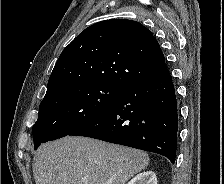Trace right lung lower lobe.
<instances>
[{"instance_id": "obj_1", "label": "right lung lower lobe", "mask_w": 224, "mask_h": 184, "mask_svg": "<svg viewBox=\"0 0 224 184\" xmlns=\"http://www.w3.org/2000/svg\"><path fill=\"white\" fill-rule=\"evenodd\" d=\"M177 132L176 94L168 73L126 86L104 111L69 135L158 153L174 163Z\"/></svg>"}]
</instances>
